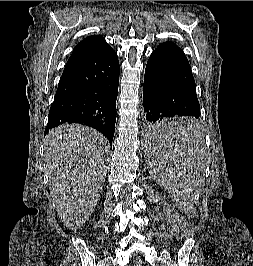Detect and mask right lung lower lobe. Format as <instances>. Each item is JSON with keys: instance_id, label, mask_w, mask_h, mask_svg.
Returning <instances> with one entry per match:
<instances>
[{"instance_id": "1", "label": "right lung lower lobe", "mask_w": 253, "mask_h": 266, "mask_svg": "<svg viewBox=\"0 0 253 266\" xmlns=\"http://www.w3.org/2000/svg\"><path fill=\"white\" fill-rule=\"evenodd\" d=\"M119 69L117 54L110 48L64 70L49 111L45 134L64 123H79L97 129L112 145Z\"/></svg>"}]
</instances>
